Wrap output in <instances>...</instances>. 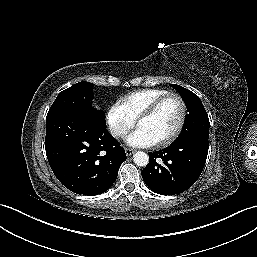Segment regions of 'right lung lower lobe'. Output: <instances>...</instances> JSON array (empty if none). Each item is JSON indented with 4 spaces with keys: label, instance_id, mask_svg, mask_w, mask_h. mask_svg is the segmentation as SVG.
<instances>
[{
    "label": "right lung lower lobe",
    "instance_id": "1",
    "mask_svg": "<svg viewBox=\"0 0 257 257\" xmlns=\"http://www.w3.org/2000/svg\"><path fill=\"white\" fill-rule=\"evenodd\" d=\"M45 150L56 178L70 191L88 196L108 190L126 160L106 126L74 110L46 117Z\"/></svg>",
    "mask_w": 257,
    "mask_h": 257
}]
</instances>
